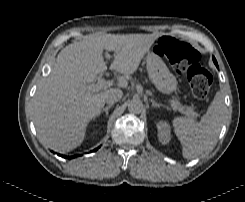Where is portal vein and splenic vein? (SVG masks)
I'll return each instance as SVG.
<instances>
[{"mask_svg": "<svg viewBox=\"0 0 245 202\" xmlns=\"http://www.w3.org/2000/svg\"><path fill=\"white\" fill-rule=\"evenodd\" d=\"M113 84H114L113 80H109L108 81V80L100 78L96 84L87 85L85 87V89H87L89 91L97 92V91H100V90H105L108 87L112 86ZM170 104H171V106L173 107L174 110H178L179 112H181L183 114H186L188 116H191V117H195L196 116V113L192 109L186 110V109H184L182 107L177 106V104L175 102H171Z\"/></svg>", "mask_w": 245, "mask_h": 202, "instance_id": "1", "label": "portal vein and splenic vein"}]
</instances>
